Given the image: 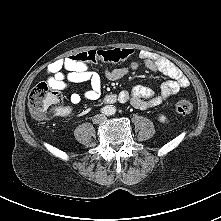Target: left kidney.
<instances>
[{"label":"left kidney","mask_w":221,"mask_h":221,"mask_svg":"<svg viewBox=\"0 0 221 221\" xmlns=\"http://www.w3.org/2000/svg\"><path fill=\"white\" fill-rule=\"evenodd\" d=\"M159 121L161 123H166L167 122V118L165 115L161 114L159 117H158Z\"/></svg>","instance_id":"obj_1"}]
</instances>
